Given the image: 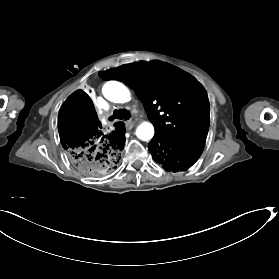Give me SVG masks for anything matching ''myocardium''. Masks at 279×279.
<instances>
[{"mask_svg":"<svg viewBox=\"0 0 279 279\" xmlns=\"http://www.w3.org/2000/svg\"><path fill=\"white\" fill-rule=\"evenodd\" d=\"M96 131L98 132V134L104 133V129L102 128V126H100Z\"/></svg>","mask_w":279,"mask_h":279,"instance_id":"obj_1","label":"myocardium"}]
</instances>
